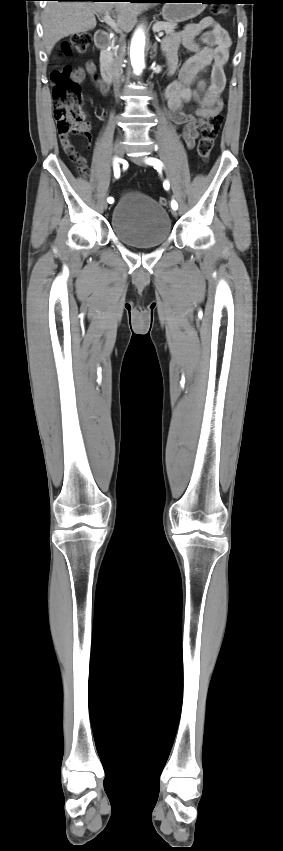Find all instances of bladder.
<instances>
[{"instance_id":"obj_1","label":"bladder","mask_w":283,"mask_h":851,"mask_svg":"<svg viewBox=\"0 0 283 851\" xmlns=\"http://www.w3.org/2000/svg\"><path fill=\"white\" fill-rule=\"evenodd\" d=\"M111 228L114 235L128 246L153 248L170 236L171 220L166 209L153 198L131 192L116 202Z\"/></svg>"}]
</instances>
